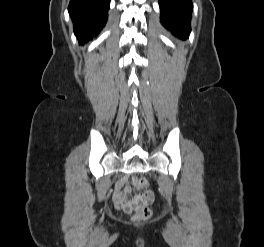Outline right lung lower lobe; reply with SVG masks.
<instances>
[{
	"mask_svg": "<svg viewBox=\"0 0 264 247\" xmlns=\"http://www.w3.org/2000/svg\"><path fill=\"white\" fill-rule=\"evenodd\" d=\"M109 7L110 0H70L68 11L79 43H87L99 34L107 21Z\"/></svg>",
	"mask_w": 264,
	"mask_h": 247,
	"instance_id": "1",
	"label": "right lung lower lobe"
}]
</instances>
